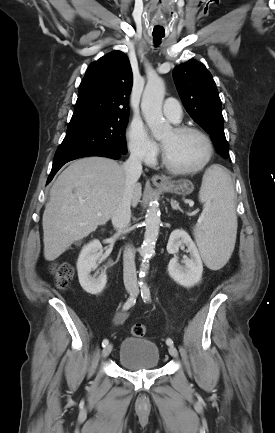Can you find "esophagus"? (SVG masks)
Here are the masks:
<instances>
[{"mask_svg":"<svg viewBox=\"0 0 275 433\" xmlns=\"http://www.w3.org/2000/svg\"><path fill=\"white\" fill-rule=\"evenodd\" d=\"M152 182L156 186H164L168 183V179L165 176L154 175L152 177Z\"/></svg>","mask_w":275,"mask_h":433,"instance_id":"obj_1","label":"esophagus"}]
</instances>
